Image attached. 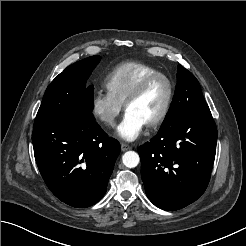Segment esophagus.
<instances>
[{
    "mask_svg": "<svg viewBox=\"0 0 246 246\" xmlns=\"http://www.w3.org/2000/svg\"><path fill=\"white\" fill-rule=\"evenodd\" d=\"M129 149H131V146L130 145H128L126 143H121V150L122 151H127Z\"/></svg>",
    "mask_w": 246,
    "mask_h": 246,
    "instance_id": "1",
    "label": "esophagus"
}]
</instances>
